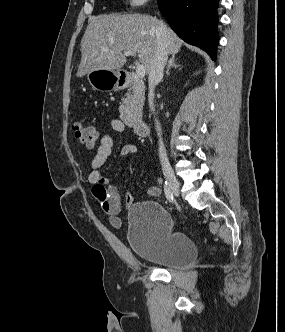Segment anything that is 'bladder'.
<instances>
[{"label":"bladder","mask_w":285,"mask_h":332,"mask_svg":"<svg viewBox=\"0 0 285 332\" xmlns=\"http://www.w3.org/2000/svg\"><path fill=\"white\" fill-rule=\"evenodd\" d=\"M127 242L133 254L168 269H184L198 257L193 240L175 231L169 213L157 202L134 204L128 213Z\"/></svg>","instance_id":"bladder-1"}]
</instances>
